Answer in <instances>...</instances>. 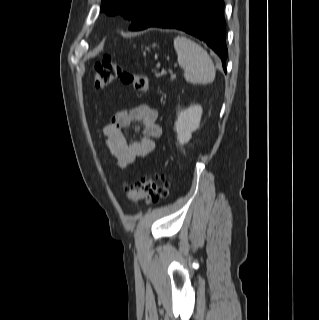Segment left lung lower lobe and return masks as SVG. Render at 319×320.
<instances>
[{
  "instance_id": "0a47b994",
  "label": "left lung lower lobe",
  "mask_w": 319,
  "mask_h": 320,
  "mask_svg": "<svg viewBox=\"0 0 319 320\" xmlns=\"http://www.w3.org/2000/svg\"><path fill=\"white\" fill-rule=\"evenodd\" d=\"M224 0H158L129 30L149 27L182 30L205 42L221 59L226 72Z\"/></svg>"
}]
</instances>
